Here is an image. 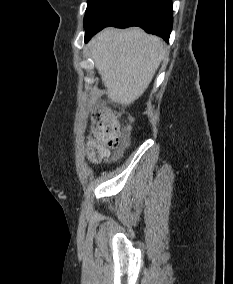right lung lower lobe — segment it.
<instances>
[{
  "mask_svg": "<svg viewBox=\"0 0 233 284\" xmlns=\"http://www.w3.org/2000/svg\"><path fill=\"white\" fill-rule=\"evenodd\" d=\"M172 14V0H111L86 27L85 41L108 26H138L168 42L173 25Z\"/></svg>",
  "mask_w": 233,
  "mask_h": 284,
  "instance_id": "obj_1",
  "label": "right lung lower lobe"
}]
</instances>
